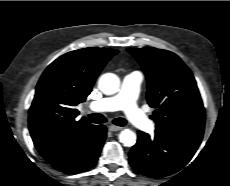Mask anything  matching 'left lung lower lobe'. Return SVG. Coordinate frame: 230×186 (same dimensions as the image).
Instances as JSON below:
<instances>
[{
	"label": "left lung lower lobe",
	"mask_w": 230,
	"mask_h": 186,
	"mask_svg": "<svg viewBox=\"0 0 230 186\" xmlns=\"http://www.w3.org/2000/svg\"><path fill=\"white\" fill-rule=\"evenodd\" d=\"M201 139L180 137L166 131H155L152 139L139 131L137 143L129 153L133 169L152 178H161L183 168L193 157Z\"/></svg>",
	"instance_id": "left-lung-lower-lobe-1"
}]
</instances>
